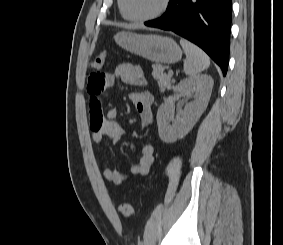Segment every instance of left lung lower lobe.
Wrapping results in <instances>:
<instances>
[{
	"mask_svg": "<svg viewBox=\"0 0 283 245\" xmlns=\"http://www.w3.org/2000/svg\"><path fill=\"white\" fill-rule=\"evenodd\" d=\"M232 0H170L166 12L146 26L173 31L202 48L226 75Z\"/></svg>",
	"mask_w": 283,
	"mask_h": 245,
	"instance_id": "0a47b994",
	"label": "left lung lower lobe"
}]
</instances>
